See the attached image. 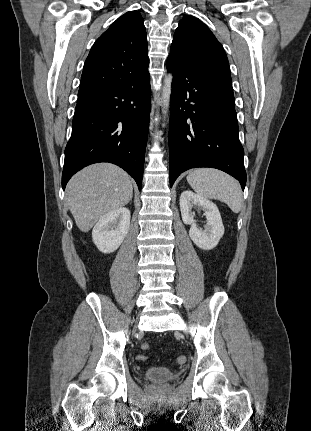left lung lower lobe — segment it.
I'll use <instances>...</instances> for the list:
<instances>
[{
    "label": "left lung lower lobe",
    "instance_id": "0a47b994",
    "mask_svg": "<svg viewBox=\"0 0 311 431\" xmlns=\"http://www.w3.org/2000/svg\"><path fill=\"white\" fill-rule=\"evenodd\" d=\"M170 186L195 167L220 169L246 185L231 80L195 71L171 58Z\"/></svg>",
    "mask_w": 311,
    "mask_h": 431
}]
</instances>
